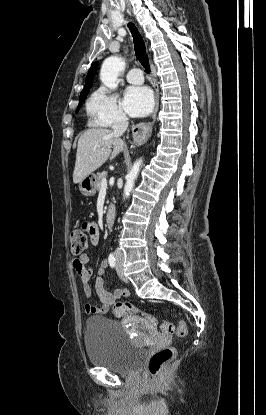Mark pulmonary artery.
Returning a JSON list of instances; mask_svg holds the SVG:
<instances>
[{"label": "pulmonary artery", "mask_w": 266, "mask_h": 415, "mask_svg": "<svg viewBox=\"0 0 266 415\" xmlns=\"http://www.w3.org/2000/svg\"><path fill=\"white\" fill-rule=\"evenodd\" d=\"M126 78L131 84H141L144 80L143 73L139 68L130 69L126 75Z\"/></svg>", "instance_id": "1"}]
</instances>
